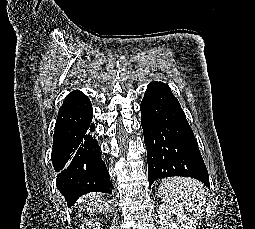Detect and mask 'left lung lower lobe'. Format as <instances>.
<instances>
[{"label": "left lung lower lobe", "instance_id": "1", "mask_svg": "<svg viewBox=\"0 0 255 229\" xmlns=\"http://www.w3.org/2000/svg\"><path fill=\"white\" fill-rule=\"evenodd\" d=\"M149 187L157 179L192 177L208 188L209 176L194 133L168 85L153 81L140 105Z\"/></svg>", "mask_w": 255, "mask_h": 229}]
</instances>
